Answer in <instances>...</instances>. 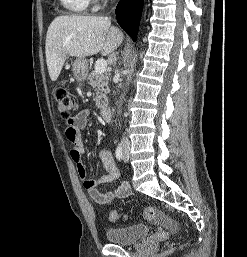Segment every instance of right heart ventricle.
Instances as JSON below:
<instances>
[{
  "mask_svg": "<svg viewBox=\"0 0 247 257\" xmlns=\"http://www.w3.org/2000/svg\"><path fill=\"white\" fill-rule=\"evenodd\" d=\"M67 10L76 14H85L88 11L91 0H60Z\"/></svg>",
  "mask_w": 247,
  "mask_h": 257,
  "instance_id": "1",
  "label": "right heart ventricle"
}]
</instances>
